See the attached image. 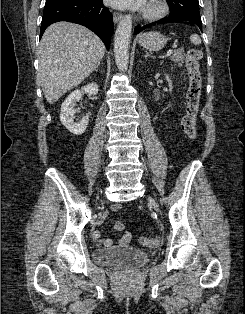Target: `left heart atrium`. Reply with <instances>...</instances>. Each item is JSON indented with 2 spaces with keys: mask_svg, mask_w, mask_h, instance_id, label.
Wrapping results in <instances>:
<instances>
[{
  "mask_svg": "<svg viewBox=\"0 0 245 314\" xmlns=\"http://www.w3.org/2000/svg\"><path fill=\"white\" fill-rule=\"evenodd\" d=\"M108 2L114 6L119 8H143L146 0H108Z\"/></svg>",
  "mask_w": 245,
  "mask_h": 314,
  "instance_id": "obj_1",
  "label": "left heart atrium"
}]
</instances>
